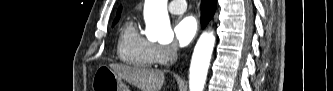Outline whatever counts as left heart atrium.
<instances>
[{
    "label": "left heart atrium",
    "mask_w": 333,
    "mask_h": 91,
    "mask_svg": "<svg viewBox=\"0 0 333 91\" xmlns=\"http://www.w3.org/2000/svg\"><path fill=\"white\" fill-rule=\"evenodd\" d=\"M175 37L182 47L191 43L197 33V21L193 16L180 18L174 27Z\"/></svg>",
    "instance_id": "obj_1"
}]
</instances>
